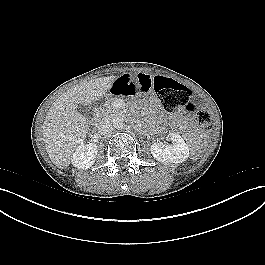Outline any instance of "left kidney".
Returning <instances> with one entry per match:
<instances>
[{
	"label": "left kidney",
	"mask_w": 265,
	"mask_h": 265,
	"mask_svg": "<svg viewBox=\"0 0 265 265\" xmlns=\"http://www.w3.org/2000/svg\"><path fill=\"white\" fill-rule=\"evenodd\" d=\"M173 145L155 142L150 151L153 157L162 163H182L189 157V148L183 138L177 133H169Z\"/></svg>",
	"instance_id": "left-kidney-1"
}]
</instances>
